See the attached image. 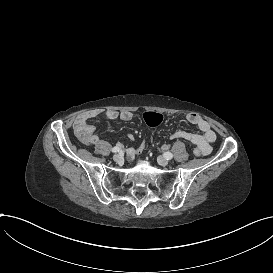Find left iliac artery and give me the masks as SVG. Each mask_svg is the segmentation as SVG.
Returning a JSON list of instances; mask_svg holds the SVG:
<instances>
[{
	"label": "left iliac artery",
	"mask_w": 273,
	"mask_h": 273,
	"mask_svg": "<svg viewBox=\"0 0 273 273\" xmlns=\"http://www.w3.org/2000/svg\"><path fill=\"white\" fill-rule=\"evenodd\" d=\"M172 157H173V154L171 152H166V158H167V160L172 159Z\"/></svg>",
	"instance_id": "obj_1"
}]
</instances>
